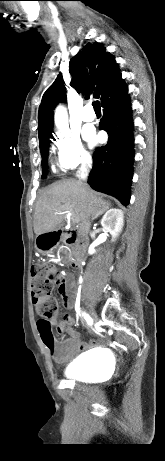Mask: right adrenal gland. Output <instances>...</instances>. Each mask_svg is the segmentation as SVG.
I'll use <instances>...</instances> for the list:
<instances>
[{"label": "right adrenal gland", "mask_w": 165, "mask_h": 461, "mask_svg": "<svg viewBox=\"0 0 165 461\" xmlns=\"http://www.w3.org/2000/svg\"><path fill=\"white\" fill-rule=\"evenodd\" d=\"M97 217H98V216L94 217L93 220L96 219Z\"/></svg>", "instance_id": "right-adrenal-gland-1"}]
</instances>
